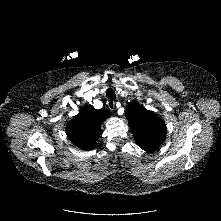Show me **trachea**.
<instances>
[{
    "mask_svg": "<svg viewBox=\"0 0 221 221\" xmlns=\"http://www.w3.org/2000/svg\"><path fill=\"white\" fill-rule=\"evenodd\" d=\"M106 97L110 100H114L116 98L115 91L113 89H107Z\"/></svg>",
    "mask_w": 221,
    "mask_h": 221,
    "instance_id": "obj_1",
    "label": "trachea"
}]
</instances>
